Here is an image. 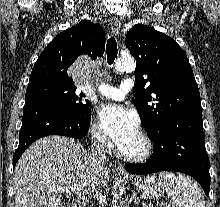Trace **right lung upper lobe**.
<instances>
[{"label": "right lung upper lobe", "mask_w": 220, "mask_h": 207, "mask_svg": "<svg viewBox=\"0 0 220 207\" xmlns=\"http://www.w3.org/2000/svg\"><path fill=\"white\" fill-rule=\"evenodd\" d=\"M105 48V33L102 27L89 20H82L57 35L38 57L29 79V84L52 81L74 85L68 76L69 67L79 56L91 60L102 57Z\"/></svg>", "instance_id": "right-lung-upper-lobe-1"}]
</instances>
